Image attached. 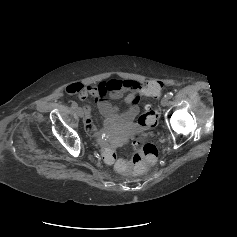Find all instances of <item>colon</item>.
Wrapping results in <instances>:
<instances>
[{
	"instance_id": "obj_1",
	"label": "colon",
	"mask_w": 237,
	"mask_h": 237,
	"mask_svg": "<svg viewBox=\"0 0 237 237\" xmlns=\"http://www.w3.org/2000/svg\"><path fill=\"white\" fill-rule=\"evenodd\" d=\"M164 86L160 80H151L146 86V92L149 96L157 98ZM159 116L158 109L147 107L146 111L139 117L138 122L141 126L151 128L156 126ZM135 154L130 161L117 159L116 151L113 147L104 145L102 148L103 159L107 163L115 164L116 170L125 175H135L145 172L152 166L158 158V149L154 144L143 143L139 136L133 141Z\"/></svg>"
}]
</instances>
